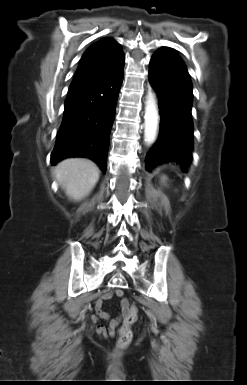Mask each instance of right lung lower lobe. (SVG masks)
Listing matches in <instances>:
<instances>
[{
    "label": "right lung lower lobe",
    "instance_id": "obj_1",
    "mask_svg": "<svg viewBox=\"0 0 247 385\" xmlns=\"http://www.w3.org/2000/svg\"><path fill=\"white\" fill-rule=\"evenodd\" d=\"M123 69L124 64L113 72L70 86L51 154L52 164L68 157H87L106 171L109 136Z\"/></svg>",
    "mask_w": 247,
    "mask_h": 385
}]
</instances>
